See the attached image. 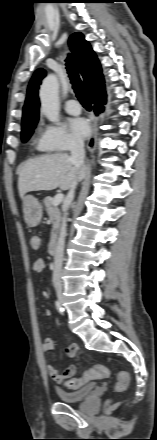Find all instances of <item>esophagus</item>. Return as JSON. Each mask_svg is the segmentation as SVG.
<instances>
[{"instance_id":"1","label":"esophagus","mask_w":157,"mask_h":440,"mask_svg":"<svg viewBox=\"0 0 157 440\" xmlns=\"http://www.w3.org/2000/svg\"><path fill=\"white\" fill-rule=\"evenodd\" d=\"M90 126H91V136L87 142V149L89 152H93L97 144V127H96V119L93 112L90 114Z\"/></svg>"}]
</instances>
